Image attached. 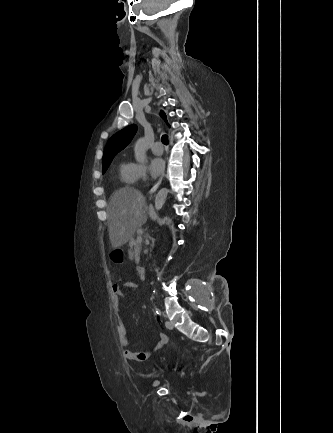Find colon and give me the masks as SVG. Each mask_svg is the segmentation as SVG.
<instances>
[{
  "mask_svg": "<svg viewBox=\"0 0 333 433\" xmlns=\"http://www.w3.org/2000/svg\"><path fill=\"white\" fill-rule=\"evenodd\" d=\"M114 265H123L125 252L123 249H112L110 252Z\"/></svg>",
  "mask_w": 333,
  "mask_h": 433,
  "instance_id": "obj_1",
  "label": "colon"
}]
</instances>
